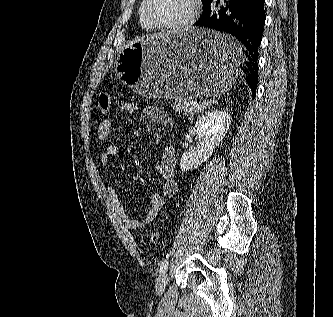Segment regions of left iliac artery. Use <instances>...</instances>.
<instances>
[{
	"mask_svg": "<svg viewBox=\"0 0 333 317\" xmlns=\"http://www.w3.org/2000/svg\"><path fill=\"white\" fill-rule=\"evenodd\" d=\"M167 268H168V260H164L160 264L159 272L164 273V272H166Z\"/></svg>",
	"mask_w": 333,
	"mask_h": 317,
	"instance_id": "left-iliac-artery-1",
	"label": "left iliac artery"
}]
</instances>
